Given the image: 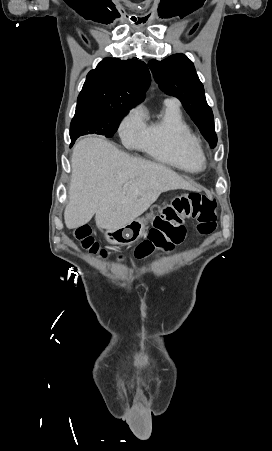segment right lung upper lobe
Returning a JSON list of instances; mask_svg holds the SVG:
<instances>
[{
  "mask_svg": "<svg viewBox=\"0 0 272 451\" xmlns=\"http://www.w3.org/2000/svg\"><path fill=\"white\" fill-rule=\"evenodd\" d=\"M150 81L144 62L105 58L88 73L77 105L133 107L145 99Z\"/></svg>",
  "mask_w": 272,
  "mask_h": 451,
  "instance_id": "cb5924a9",
  "label": "right lung upper lobe"
}]
</instances>
